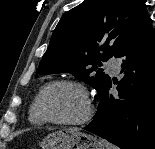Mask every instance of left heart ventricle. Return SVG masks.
Instances as JSON below:
<instances>
[{
	"label": "left heart ventricle",
	"instance_id": "1",
	"mask_svg": "<svg viewBox=\"0 0 155 149\" xmlns=\"http://www.w3.org/2000/svg\"><path fill=\"white\" fill-rule=\"evenodd\" d=\"M42 104L48 116L57 120L78 119L85 110L81 93L78 89L69 85L50 87L43 97Z\"/></svg>",
	"mask_w": 155,
	"mask_h": 149
}]
</instances>
